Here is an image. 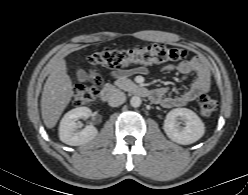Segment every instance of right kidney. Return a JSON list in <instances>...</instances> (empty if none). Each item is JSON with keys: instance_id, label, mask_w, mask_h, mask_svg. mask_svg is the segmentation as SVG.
Returning <instances> with one entry per match:
<instances>
[{"instance_id": "right-kidney-1", "label": "right kidney", "mask_w": 248, "mask_h": 195, "mask_svg": "<svg viewBox=\"0 0 248 195\" xmlns=\"http://www.w3.org/2000/svg\"><path fill=\"white\" fill-rule=\"evenodd\" d=\"M91 114L92 111L87 107H77L67 112L60 122V140L70 146H79L93 140L98 134L93 125H87L81 131L77 130L81 126L78 120L87 119Z\"/></svg>"}]
</instances>
